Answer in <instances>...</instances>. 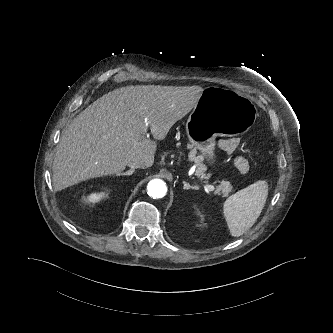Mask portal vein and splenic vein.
I'll return each instance as SVG.
<instances>
[{
	"label": "portal vein and splenic vein",
	"instance_id": "portal-vein-and-splenic-vein-1",
	"mask_svg": "<svg viewBox=\"0 0 333 333\" xmlns=\"http://www.w3.org/2000/svg\"><path fill=\"white\" fill-rule=\"evenodd\" d=\"M147 126H148V122L146 121V122H145V127H144V133L147 132ZM204 189H205V191H206L207 193H209L210 191H213V190H214V186H213V185H209V184H207V185H204Z\"/></svg>",
	"mask_w": 333,
	"mask_h": 333
}]
</instances>
